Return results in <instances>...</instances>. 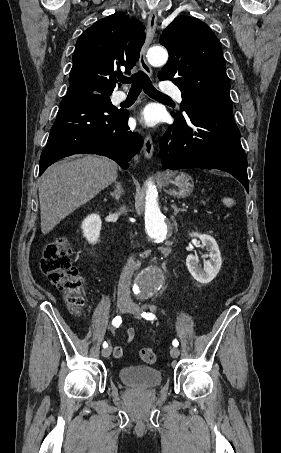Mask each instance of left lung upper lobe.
<instances>
[{
  "label": "left lung upper lobe",
  "instance_id": "1",
  "mask_svg": "<svg viewBox=\"0 0 281 453\" xmlns=\"http://www.w3.org/2000/svg\"><path fill=\"white\" fill-rule=\"evenodd\" d=\"M160 44L169 52L160 80H173L182 92L181 109L195 105L231 104L220 41L197 18L178 16L163 31Z\"/></svg>",
  "mask_w": 281,
  "mask_h": 453
}]
</instances>
